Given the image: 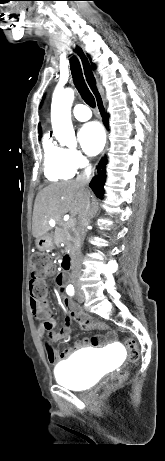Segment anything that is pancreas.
Returning a JSON list of instances; mask_svg holds the SVG:
<instances>
[{"label":"pancreas","mask_w":165,"mask_h":461,"mask_svg":"<svg viewBox=\"0 0 165 461\" xmlns=\"http://www.w3.org/2000/svg\"><path fill=\"white\" fill-rule=\"evenodd\" d=\"M64 228H56L54 233V240L56 242H64L67 249L74 250L75 239L71 235L70 227L71 225L63 224Z\"/></svg>","instance_id":"1"}]
</instances>
